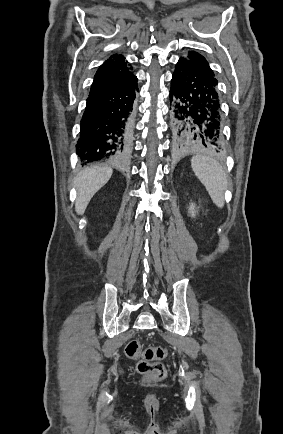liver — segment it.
Segmentation results:
<instances>
[{
  "label": "liver",
  "mask_w": 283,
  "mask_h": 434,
  "mask_svg": "<svg viewBox=\"0 0 283 434\" xmlns=\"http://www.w3.org/2000/svg\"><path fill=\"white\" fill-rule=\"evenodd\" d=\"M113 170L110 167L94 166L81 171L74 180L78 196L75 202V210L78 215L84 213L91 198L111 178Z\"/></svg>",
  "instance_id": "1"
}]
</instances>
